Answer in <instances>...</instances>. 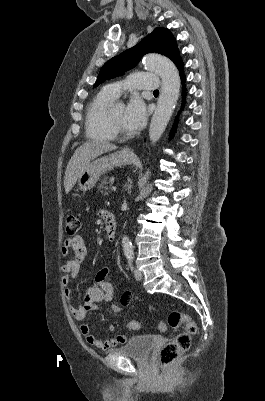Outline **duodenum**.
Listing matches in <instances>:
<instances>
[{"instance_id":"obj_1","label":"duodenum","mask_w":265,"mask_h":401,"mask_svg":"<svg viewBox=\"0 0 265 401\" xmlns=\"http://www.w3.org/2000/svg\"><path fill=\"white\" fill-rule=\"evenodd\" d=\"M102 217L105 222L106 234L109 241H114L117 230V222L114 214L104 211Z\"/></svg>"}]
</instances>
